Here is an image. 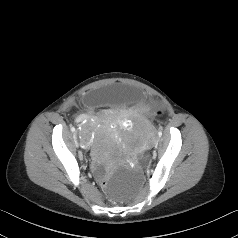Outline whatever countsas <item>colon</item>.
Segmentation results:
<instances>
[{
  "label": "colon",
  "mask_w": 238,
  "mask_h": 238,
  "mask_svg": "<svg viewBox=\"0 0 238 238\" xmlns=\"http://www.w3.org/2000/svg\"><path fill=\"white\" fill-rule=\"evenodd\" d=\"M98 187L100 189H107L109 187V182L107 180H100L98 182Z\"/></svg>",
  "instance_id": "5ec220e1"
}]
</instances>
